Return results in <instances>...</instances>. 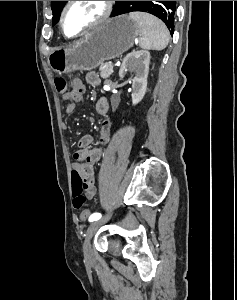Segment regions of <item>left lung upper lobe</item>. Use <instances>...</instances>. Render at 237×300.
I'll return each mask as SVG.
<instances>
[{
    "label": "left lung upper lobe",
    "mask_w": 237,
    "mask_h": 300,
    "mask_svg": "<svg viewBox=\"0 0 237 300\" xmlns=\"http://www.w3.org/2000/svg\"><path fill=\"white\" fill-rule=\"evenodd\" d=\"M67 1H51L53 11L52 25L59 20V13ZM133 11H143L153 14L160 18L168 27L173 35L174 32V16L176 11V1H116L115 15H120Z\"/></svg>",
    "instance_id": "left-lung-upper-lobe-1"
}]
</instances>
